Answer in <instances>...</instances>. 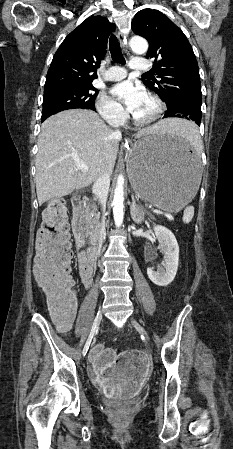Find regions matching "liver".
Segmentation results:
<instances>
[{"label":"liver","instance_id":"liver-1","mask_svg":"<svg viewBox=\"0 0 233 449\" xmlns=\"http://www.w3.org/2000/svg\"><path fill=\"white\" fill-rule=\"evenodd\" d=\"M181 122L179 119L161 120L138 131L135 138L156 132L173 133ZM120 138L90 110H66L45 120L36 156L39 204L89 186L103 172L112 174ZM76 159L86 163L87 172L77 169Z\"/></svg>","mask_w":233,"mask_h":449}]
</instances>
